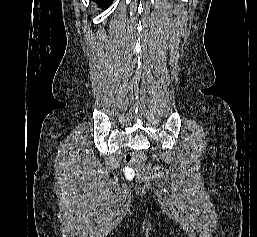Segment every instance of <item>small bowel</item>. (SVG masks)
Returning <instances> with one entry per match:
<instances>
[{
    "mask_svg": "<svg viewBox=\"0 0 257 237\" xmlns=\"http://www.w3.org/2000/svg\"><path fill=\"white\" fill-rule=\"evenodd\" d=\"M124 172H125V174L127 175V177H129V178H132L133 175H134L132 169H131L129 166H126V167L124 168Z\"/></svg>",
    "mask_w": 257,
    "mask_h": 237,
    "instance_id": "c3829d8e",
    "label": "small bowel"
}]
</instances>
